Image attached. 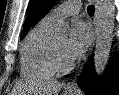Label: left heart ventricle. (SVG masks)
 Wrapping results in <instances>:
<instances>
[{
    "instance_id": "left-heart-ventricle-1",
    "label": "left heart ventricle",
    "mask_w": 119,
    "mask_h": 95,
    "mask_svg": "<svg viewBox=\"0 0 119 95\" xmlns=\"http://www.w3.org/2000/svg\"><path fill=\"white\" fill-rule=\"evenodd\" d=\"M56 41V44L58 46V49H59V52L61 54V57L66 60V61H69L71 60L66 52H65V46H66V42H67V38L66 37H62V38H58L55 40Z\"/></svg>"
}]
</instances>
